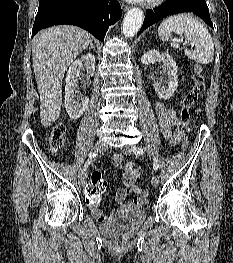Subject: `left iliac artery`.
Here are the masks:
<instances>
[{"mask_svg":"<svg viewBox=\"0 0 233 263\" xmlns=\"http://www.w3.org/2000/svg\"><path fill=\"white\" fill-rule=\"evenodd\" d=\"M134 153L136 155H142L144 154V149L142 147H136L134 148ZM159 168L158 161L156 159H153V169L156 171Z\"/></svg>","mask_w":233,"mask_h":263,"instance_id":"left-iliac-artery-1","label":"left iliac artery"}]
</instances>
